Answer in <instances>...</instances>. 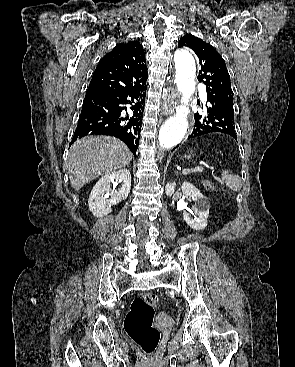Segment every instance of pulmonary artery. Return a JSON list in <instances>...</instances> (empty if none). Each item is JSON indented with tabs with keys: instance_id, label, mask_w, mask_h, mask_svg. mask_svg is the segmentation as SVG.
Returning <instances> with one entry per match:
<instances>
[{
	"instance_id": "e3ab8cb5",
	"label": "pulmonary artery",
	"mask_w": 295,
	"mask_h": 367,
	"mask_svg": "<svg viewBox=\"0 0 295 367\" xmlns=\"http://www.w3.org/2000/svg\"><path fill=\"white\" fill-rule=\"evenodd\" d=\"M201 97L203 98V99H206V93H205V91L203 90V89H201Z\"/></svg>"
}]
</instances>
